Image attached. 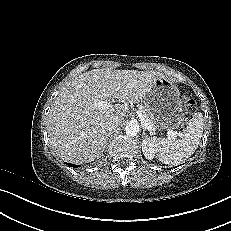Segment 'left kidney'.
<instances>
[{"instance_id": "5707ae66", "label": "left kidney", "mask_w": 231, "mask_h": 231, "mask_svg": "<svg viewBox=\"0 0 231 231\" xmlns=\"http://www.w3.org/2000/svg\"><path fill=\"white\" fill-rule=\"evenodd\" d=\"M141 146L144 156L152 160L155 156V140L150 138L143 139Z\"/></svg>"}]
</instances>
